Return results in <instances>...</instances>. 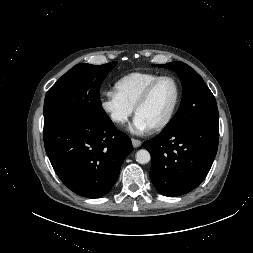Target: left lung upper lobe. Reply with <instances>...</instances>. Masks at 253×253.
<instances>
[{
	"label": "left lung upper lobe",
	"instance_id": "5c2ea615",
	"mask_svg": "<svg viewBox=\"0 0 253 253\" xmlns=\"http://www.w3.org/2000/svg\"><path fill=\"white\" fill-rule=\"evenodd\" d=\"M153 66L174 70L181 79L183 87L179 110L161 131L162 133L174 132L196 124L219 126L215 97L194 69L178 61Z\"/></svg>",
	"mask_w": 253,
	"mask_h": 253
}]
</instances>
